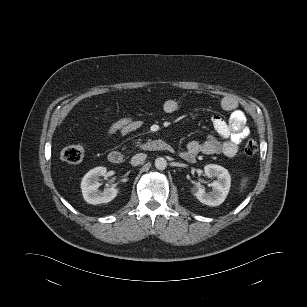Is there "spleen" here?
Wrapping results in <instances>:
<instances>
[{
    "label": "spleen",
    "mask_w": 307,
    "mask_h": 307,
    "mask_svg": "<svg viewBox=\"0 0 307 307\" xmlns=\"http://www.w3.org/2000/svg\"><path fill=\"white\" fill-rule=\"evenodd\" d=\"M246 182H247V178H244L241 183V188H243L246 185Z\"/></svg>",
    "instance_id": "3e777b00"
}]
</instances>
